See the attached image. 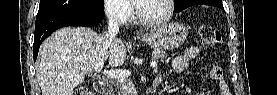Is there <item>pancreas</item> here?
<instances>
[{
  "mask_svg": "<svg viewBox=\"0 0 277 95\" xmlns=\"http://www.w3.org/2000/svg\"><path fill=\"white\" fill-rule=\"evenodd\" d=\"M152 58L155 61H162L165 58V52L163 50L156 49L152 52ZM119 95H133L135 93L134 85L130 80L124 79L117 84Z\"/></svg>",
  "mask_w": 277,
  "mask_h": 95,
  "instance_id": "obj_1",
  "label": "pancreas"
}]
</instances>
